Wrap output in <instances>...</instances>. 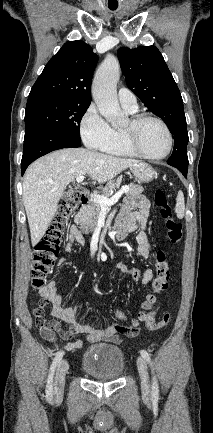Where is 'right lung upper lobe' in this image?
Segmentation results:
<instances>
[{"instance_id": "1", "label": "right lung upper lobe", "mask_w": 213, "mask_h": 433, "mask_svg": "<svg viewBox=\"0 0 213 433\" xmlns=\"http://www.w3.org/2000/svg\"><path fill=\"white\" fill-rule=\"evenodd\" d=\"M98 56L81 40L65 43L46 64L28 99L51 97L91 102V80Z\"/></svg>"}]
</instances>
